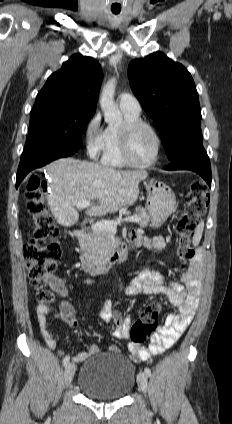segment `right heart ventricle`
I'll use <instances>...</instances> for the list:
<instances>
[{
	"label": "right heart ventricle",
	"instance_id": "obj_1",
	"mask_svg": "<svg viewBox=\"0 0 232 424\" xmlns=\"http://www.w3.org/2000/svg\"><path fill=\"white\" fill-rule=\"evenodd\" d=\"M123 114L125 122L139 120V115H133L127 112H123ZM119 131L120 128H116L113 126H109L105 130V146L102 153L101 162L106 166H127L121 154Z\"/></svg>",
	"mask_w": 232,
	"mask_h": 424
}]
</instances>
